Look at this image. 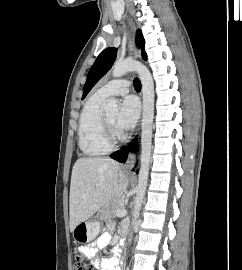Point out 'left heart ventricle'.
I'll return each mask as SVG.
<instances>
[{
    "mask_svg": "<svg viewBox=\"0 0 242 270\" xmlns=\"http://www.w3.org/2000/svg\"><path fill=\"white\" fill-rule=\"evenodd\" d=\"M108 120L110 121V123L118 129L117 127V118H118V113L117 112H112V113H108L107 115Z\"/></svg>",
    "mask_w": 242,
    "mask_h": 270,
    "instance_id": "b2bd125f",
    "label": "left heart ventricle"
}]
</instances>
